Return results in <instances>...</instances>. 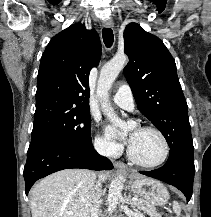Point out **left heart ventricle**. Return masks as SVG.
Segmentation results:
<instances>
[{
  "mask_svg": "<svg viewBox=\"0 0 211 217\" xmlns=\"http://www.w3.org/2000/svg\"><path fill=\"white\" fill-rule=\"evenodd\" d=\"M130 136V149L140 161L154 163L159 161L164 153V144L158 134L152 131L134 129Z\"/></svg>",
  "mask_w": 211,
  "mask_h": 217,
  "instance_id": "left-heart-ventricle-1",
  "label": "left heart ventricle"
}]
</instances>
